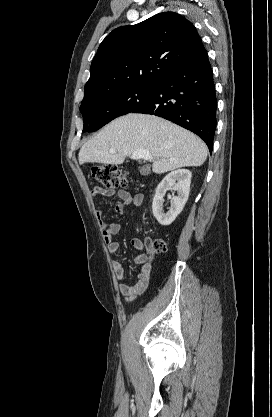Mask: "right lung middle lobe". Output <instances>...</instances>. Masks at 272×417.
<instances>
[{
	"mask_svg": "<svg viewBox=\"0 0 272 417\" xmlns=\"http://www.w3.org/2000/svg\"><path fill=\"white\" fill-rule=\"evenodd\" d=\"M156 90V84L138 85L115 91L97 98L83 99L80 111L83 115V132H94L111 120L134 111L148 101Z\"/></svg>",
	"mask_w": 272,
	"mask_h": 417,
	"instance_id": "dd1d6c3e",
	"label": "right lung middle lobe"
}]
</instances>
